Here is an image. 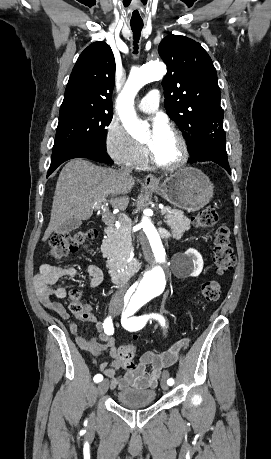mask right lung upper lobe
<instances>
[{
    "mask_svg": "<svg viewBox=\"0 0 271 459\" xmlns=\"http://www.w3.org/2000/svg\"><path fill=\"white\" fill-rule=\"evenodd\" d=\"M115 59L109 45L94 42L79 56L70 75L60 113H113Z\"/></svg>",
    "mask_w": 271,
    "mask_h": 459,
    "instance_id": "obj_1",
    "label": "right lung upper lobe"
}]
</instances>
